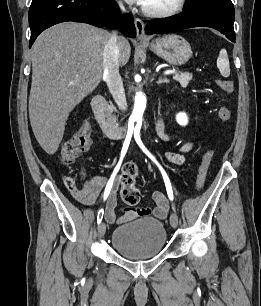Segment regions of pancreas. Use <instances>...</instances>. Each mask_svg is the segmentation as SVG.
Masks as SVG:
<instances>
[{"label": "pancreas", "mask_w": 261, "mask_h": 306, "mask_svg": "<svg viewBox=\"0 0 261 306\" xmlns=\"http://www.w3.org/2000/svg\"><path fill=\"white\" fill-rule=\"evenodd\" d=\"M173 79L179 82L182 87H186L189 81L192 79V74L190 73L175 74L173 76Z\"/></svg>", "instance_id": "obj_1"}]
</instances>
